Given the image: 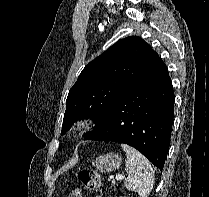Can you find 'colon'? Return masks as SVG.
Returning <instances> with one entry per match:
<instances>
[{"label":"colon","mask_w":209,"mask_h":197,"mask_svg":"<svg viewBox=\"0 0 209 197\" xmlns=\"http://www.w3.org/2000/svg\"><path fill=\"white\" fill-rule=\"evenodd\" d=\"M78 179L82 186L88 190H97L102 187V177L94 171L82 170L78 173ZM68 197H83L81 189H73L69 192Z\"/></svg>","instance_id":"obj_1"}]
</instances>
